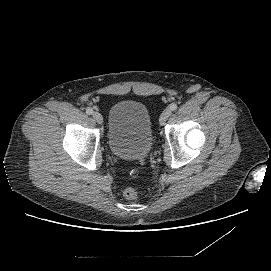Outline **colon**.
<instances>
[{
	"label": "colon",
	"instance_id": "obj_1",
	"mask_svg": "<svg viewBox=\"0 0 271 271\" xmlns=\"http://www.w3.org/2000/svg\"><path fill=\"white\" fill-rule=\"evenodd\" d=\"M124 196L128 200H135L139 196V191L134 187H128L124 190Z\"/></svg>",
	"mask_w": 271,
	"mask_h": 271
}]
</instances>
